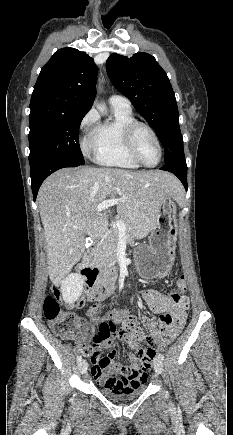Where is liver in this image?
I'll return each mask as SVG.
<instances>
[{"label": "liver", "instance_id": "obj_1", "mask_svg": "<svg viewBox=\"0 0 233 435\" xmlns=\"http://www.w3.org/2000/svg\"><path fill=\"white\" fill-rule=\"evenodd\" d=\"M183 192L175 176L159 170L79 167L56 171L43 182L37 197L50 280L60 282L80 261L86 235L104 236L107 211H96L101 202L119 196L120 216L131 236L141 239L156 226L161 204L169 197L180 200Z\"/></svg>", "mask_w": 233, "mask_h": 435}]
</instances>
